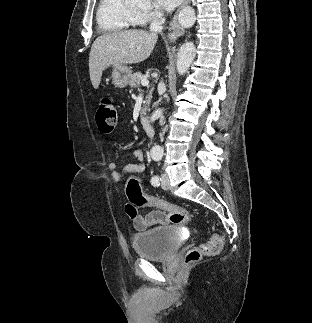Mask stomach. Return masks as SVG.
I'll return each mask as SVG.
<instances>
[{
  "label": "stomach",
  "instance_id": "0dacf381",
  "mask_svg": "<svg viewBox=\"0 0 312 323\" xmlns=\"http://www.w3.org/2000/svg\"><path fill=\"white\" fill-rule=\"evenodd\" d=\"M131 70L127 66H114L112 72V84L117 88H126L131 78Z\"/></svg>",
  "mask_w": 312,
  "mask_h": 323
}]
</instances>
